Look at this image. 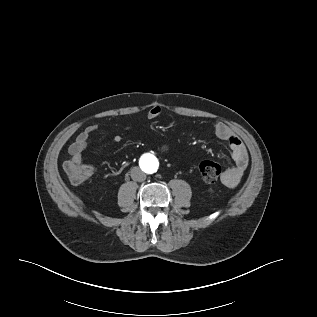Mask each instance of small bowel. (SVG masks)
Instances as JSON below:
<instances>
[{
	"label": "small bowel",
	"mask_w": 317,
	"mask_h": 317,
	"mask_svg": "<svg viewBox=\"0 0 317 317\" xmlns=\"http://www.w3.org/2000/svg\"><path fill=\"white\" fill-rule=\"evenodd\" d=\"M162 114L160 106H152L148 111V118L155 120ZM215 135L225 141L231 150L234 165L225 170L221 176L222 183L230 188L235 187L241 180L244 171L248 166V154L241 139L234 133V131L225 123L216 121L213 125ZM98 126L91 124L87 126L70 144L68 152L73 162H81L82 154L89 146L90 136L97 132ZM114 143H119L122 140L120 135H114L112 138Z\"/></svg>",
	"instance_id": "obj_1"
}]
</instances>
